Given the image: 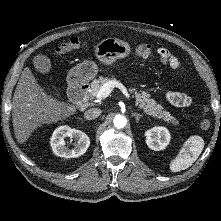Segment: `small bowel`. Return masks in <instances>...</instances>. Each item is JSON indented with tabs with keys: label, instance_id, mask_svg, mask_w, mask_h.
Wrapping results in <instances>:
<instances>
[{
	"label": "small bowel",
	"instance_id": "small-bowel-1",
	"mask_svg": "<svg viewBox=\"0 0 221 221\" xmlns=\"http://www.w3.org/2000/svg\"><path fill=\"white\" fill-rule=\"evenodd\" d=\"M161 51H166L165 49H160ZM168 52V51H167ZM171 67L176 69L178 67V61L173 57V62L171 64ZM166 99L167 101L176 107H188L192 104V99L190 96L176 92V91H168L166 92Z\"/></svg>",
	"mask_w": 221,
	"mask_h": 221
}]
</instances>
